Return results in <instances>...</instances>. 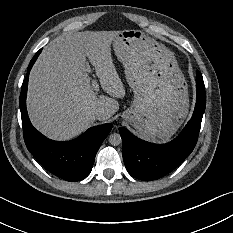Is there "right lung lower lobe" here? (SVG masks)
<instances>
[{"mask_svg": "<svg viewBox=\"0 0 233 233\" xmlns=\"http://www.w3.org/2000/svg\"><path fill=\"white\" fill-rule=\"evenodd\" d=\"M41 50L28 66L19 99L24 141L31 154L49 172L66 181H79L90 173L96 153L111 131L112 124L92 127L78 138L67 142L50 140L32 126L26 109L28 75Z\"/></svg>", "mask_w": 233, "mask_h": 233, "instance_id": "1", "label": "right lung lower lobe"}]
</instances>
